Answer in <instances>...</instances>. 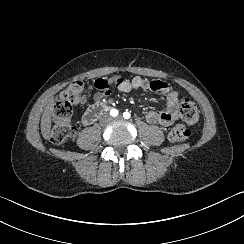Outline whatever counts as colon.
<instances>
[{"label": "colon", "mask_w": 244, "mask_h": 244, "mask_svg": "<svg viewBox=\"0 0 244 244\" xmlns=\"http://www.w3.org/2000/svg\"><path fill=\"white\" fill-rule=\"evenodd\" d=\"M85 96V84L81 80L69 83L58 95L53 112L52 143L62 144L74 137L75 124L71 118V107ZM179 111L182 122L170 132V138L175 143L183 142L188 138L190 127L196 125L200 117L197 105L187 98L181 99Z\"/></svg>", "instance_id": "5ec220e1"}]
</instances>
